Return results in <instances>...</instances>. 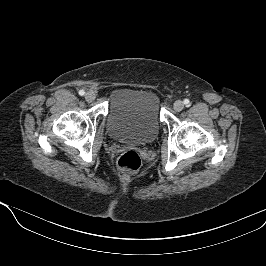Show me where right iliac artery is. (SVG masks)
Returning <instances> with one entry per match:
<instances>
[{
    "mask_svg": "<svg viewBox=\"0 0 266 266\" xmlns=\"http://www.w3.org/2000/svg\"><path fill=\"white\" fill-rule=\"evenodd\" d=\"M85 94V91L84 90H80L79 91V95L83 96Z\"/></svg>",
    "mask_w": 266,
    "mask_h": 266,
    "instance_id": "1",
    "label": "right iliac artery"
}]
</instances>
